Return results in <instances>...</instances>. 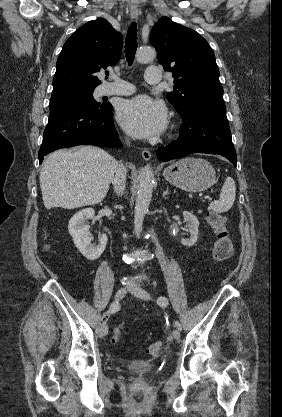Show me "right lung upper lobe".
Segmentation results:
<instances>
[{
	"label": "right lung upper lobe",
	"mask_w": 282,
	"mask_h": 417,
	"mask_svg": "<svg viewBox=\"0 0 282 417\" xmlns=\"http://www.w3.org/2000/svg\"><path fill=\"white\" fill-rule=\"evenodd\" d=\"M122 35L99 18L81 26L65 42L56 63L53 93L95 89L96 74L114 66L122 52Z\"/></svg>",
	"instance_id": "right-lung-upper-lobe-1"
}]
</instances>
